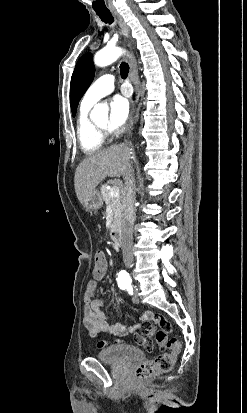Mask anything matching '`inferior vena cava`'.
<instances>
[{
  "mask_svg": "<svg viewBox=\"0 0 247 413\" xmlns=\"http://www.w3.org/2000/svg\"><path fill=\"white\" fill-rule=\"evenodd\" d=\"M126 144V142H123ZM128 146V144H127ZM130 148V146H129ZM124 188L122 190V253L123 261L126 267H130L133 263L132 253V237H133V225L135 221V180H134V168L131 160H129L124 172H123Z\"/></svg>",
  "mask_w": 247,
  "mask_h": 413,
  "instance_id": "obj_1",
  "label": "inferior vena cava"
}]
</instances>
